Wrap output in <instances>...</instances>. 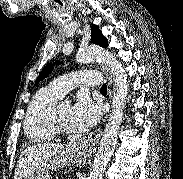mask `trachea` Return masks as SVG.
I'll list each match as a JSON object with an SVG mask.
<instances>
[{
  "instance_id": "obj_1",
  "label": "trachea",
  "mask_w": 183,
  "mask_h": 179,
  "mask_svg": "<svg viewBox=\"0 0 183 179\" xmlns=\"http://www.w3.org/2000/svg\"><path fill=\"white\" fill-rule=\"evenodd\" d=\"M101 91H107V85H106V84H103V85H102Z\"/></svg>"
}]
</instances>
